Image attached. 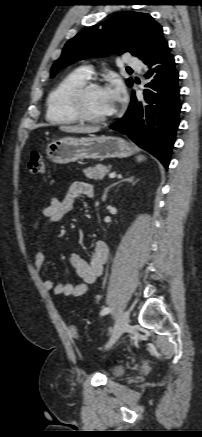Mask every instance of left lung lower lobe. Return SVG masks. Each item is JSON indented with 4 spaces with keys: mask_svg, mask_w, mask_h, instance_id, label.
<instances>
[{
    "mask_svg": "<svg viewBox=\"0 0 202 437\" xmlns=\"http://www.w3.org/2000/svg\"><path fill=\"white\" fill-rule=\"evenodd\" d=\"M145 64L149 68L145 78L150 82L143 99H137L133 92L125 115L110 128L128 135L168 168L182 106L179 72L168 43ZM146 133L148 138L144 137Z\"/></svg>",
    "mask_w": 202,
    "mask_h": 437,
    "instance_id": "0a47b994",
    "label": "left lung lower lobe"
}]
</instances>
